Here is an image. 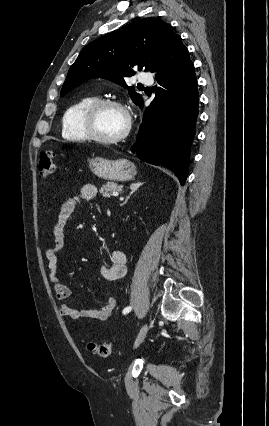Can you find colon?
I'll return each instance as SVG.
<instances>
[{
    "mask_svg": "<svg viewBox=\"0 0 269 426\" xmlns=\"http://www.w3.org/2000/svg\"><path fill=\"white\" fill-rule=\"evenodd\" d=\"M39 173L42 177L48 178L55 172L54 154L51 151L42 152L38 163ZM88 350L98 356L107 357L112 352V344L89 342Z\"/></svg>",
    "mask_w": 269,
    "mask_h": 426,
    "instance_id": "obj_1",
    "label": "colon"
}]
</instances>
